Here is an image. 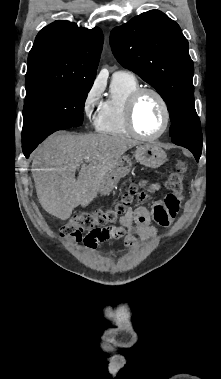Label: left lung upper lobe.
Returning <instances> with one entry per match:
<instances>
[{
  "label": "left lung upper lobe",
  "mask_w": 221,
  "mask_h": 379,
  "mask_svg": "<svg viewBox=\"0 0 221 379\" xmlns=\"http://www.w3.org/2000/svg\"><path fill=\"white\" fill-rule=\"evenodd\" d=\"M110 45L118 62L153 86L166 102L172 142L202 152L194 65L179 25L161 11L151 10L112 29Z\"/></svg>",
  "instance_id": "left-lung-upper-lobe-1"
}]
</instances>
